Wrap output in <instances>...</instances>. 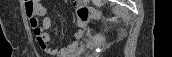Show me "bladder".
<instances>
[{
    "label": "bladder",
    "mask_w": 172,
    "mask_h": 57,
    "mask_svg": "<svg viewBox=\"0 0 172 57\" xmlns=\"http://www.w3.org/2000/svg\"><path fill=\"white\" fill-rule=\"evenodd\" d=\"M74 57H90V56L87 55L86 53H78Z\"/></svg>",
    "instance_id": "obj_1"
}]
</instances>
